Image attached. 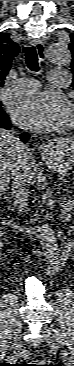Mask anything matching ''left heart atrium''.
Here are the masks:
<instances>
[{"label": "left heart atrium", "instance_id": "39dd6f15", "mask_svg": "<svg viewBox=\"0 0 74 366\" xmlns=\"http://www.w3.org/2000/svg\"><path fill=\"white\" fill-rule=\"evenodd\" d=\"M15 122L33 130H59L69 119V104L56 92H40L16 100L11 107Z\"/></svg>", "mask_w": 74, "mask_h": 366}]
</instances>
